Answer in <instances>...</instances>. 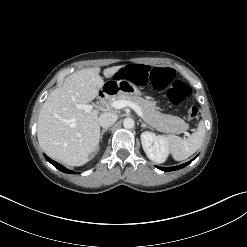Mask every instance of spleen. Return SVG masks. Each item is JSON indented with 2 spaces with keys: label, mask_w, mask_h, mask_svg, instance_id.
I'll return each mask as SVG.
<instances>
[{
  "label": "spleen",
  "mask_w": 247,
  "mask_h": 247,
  "mask_svg": "<svg viewBox=\"0 0 247 247\" xmlns=\"http://www.w3.org/2000/svg\"><path fill=\"white\" fill-rule=\"evenodd\" d=\"M205 137L204 123L201 121L195 132L188 138L168 135L166 138L169 149L176 161H182L192 156L201 146Z\"/></svg>",
  "instance_id": "obj_1"
}]
</instances>
